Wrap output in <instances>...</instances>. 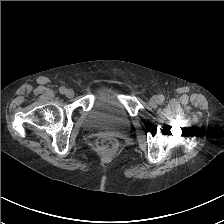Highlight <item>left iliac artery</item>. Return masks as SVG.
I'll return each instance as SVG.
<instances>
[{
  "mask_svg": "<svg viewBox=\"0 0 224 224\" xmlns=\"http://www.w3.org/2000/svg\"><path fill=\"white\" fill-rule=\"evenodd\" d=\"M164 99H165V97H164L163 95H159V101H160V102H163Z\"/></svg>",
  "mask_w": 224,
  "mask_h": 224,
  "instance_id": "44dca946",
  "label": "left iliac artery"
}]
</instances>
